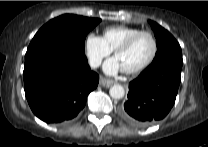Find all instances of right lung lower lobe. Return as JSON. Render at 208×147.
Here are the masks:
<instances>
[{
    "label": "right lung lower lobe",
    "instance_id": "1",
    "mask_svg": "<svg viewBox=\"0 0 208 147\" xmlns=\"http://www.w3.org/2000/svg\"><path fill=\"white\" fill-rule=\"evenodd\" d=\"M23 77L29 106L46 123L75 118L99 82L84 51L65 41L28 48Z\"/></svg>",
    "mask_w": 208,
    "mask_h": 147
}]
</instances>
